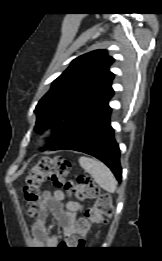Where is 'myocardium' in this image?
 <instances>
[{
  "label": "myocardium",
  "mask_w": 162,
  "mask_h": 261,
  "mask_svg": "<svg viewBox=\"0 0 162 261\" xmlns=\"http://www.w3.org/2000/svg\"><path fill=\"white\" fill-rule=\"evenodd\" d=\"M53 134V129H47L44 132H42L41 134V139H47L48 137H50Z\"/></svg>",
  "instance_id": "1"
}]
</instances>
